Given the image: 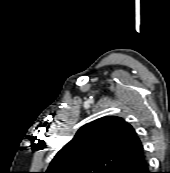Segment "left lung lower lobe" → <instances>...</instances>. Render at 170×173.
Masks as SVG:
<instances>
[{"label": "left lung lower lobe", "mask_w": 170, "mask_h": 173, "mask_svg": "<svg viewBox=\"0 0 170 173\" xmlns=\"http://www.w3.org/2000/svg\"><path fill=\"white\" fill-rule=\"evenodd\" d=\"M115 173H151L145 155L135 157L122 165Z\"/></svg>", "instance_id": "left-lung-lower-lobe-1"}]
</instances>
